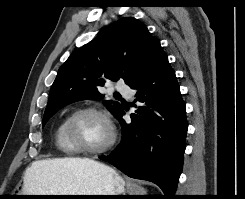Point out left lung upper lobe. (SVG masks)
I'll list each match as a JSON object with an SVG mask.
<instances>
[{"label": "left lung upper lobe", "mask_w": 245, "mask_h": 199, "mask_svg": "<svg viewBox=\"0 0 245 199\" xmlns=\"http://www.w3.org/2000/svg\"><path fill=\"white\" fill-rule=\"evenodd\" d=\"M162 50L160 42L147 27L133 17L121 18L107 26L94 40L74 51L60 67L51 87L43 125L61 108L73 102L102 100L99 87L108 81L123 79L133 84L147 71ZM117 117L119 102L104 100Z\"/></svg>", "instance_id": "5c2ea615"}]
</instances>
